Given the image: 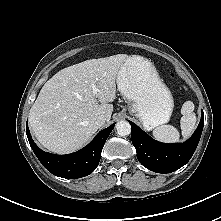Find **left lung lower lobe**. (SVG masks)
<instances>
[{
  "instance_id": "left-lung-lower-lobe-1",
  "label": "left lung lower lobe",
  "mask_w": 221,
  "mask_h": 221,
  "mask_svg": "<svg viewBox=\"0 0 221 221\" xmlns=\"http://www.w3.org/2000/svg\"><path fill=\"white\" fill-rule=\"evenodd\" d=\"M129 123L132 128V143L139 162L151 171L171 173L184 166L194 154L202 134L204 114L202 112L200 123L191 138L176 144L158 142L133 122Z\"/></svg>"
}]
</instances>
